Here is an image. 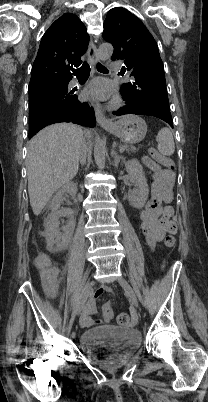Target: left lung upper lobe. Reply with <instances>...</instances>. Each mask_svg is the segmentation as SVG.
<instances>
[{
    "instance_id": "obj_1",
    "label": "left lung upper lobe",
    "mask_w": 208,
    "mask_h": 402,
    "mask_svg": "<svg viewBox=\"0 0 208 402\" xmlns=\"http://www.w3.org/2000/svg\"><path fill=\"white\" fill-rule=\"evenodd\" d=\"M103 38L114 46L112 60H122L123 74L126 70L130 74L121 94L135 103L169 110L164 66L156 41L143 22L124 8H113L104 22Z\"/></svg>"
}]
</instances>
